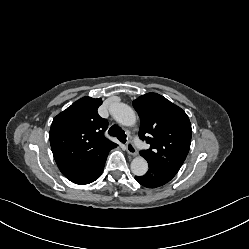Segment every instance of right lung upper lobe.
I'll return each mask as SVG.
<instances>
[{
    "label": "right lung upper lobe",
    "mask_w": 249,
    "mask_h": 249,
    "mask_svg": "<svg viewBox=\"0 0 249 249\" xmlns=\"http://www.w3.org/2000/svg\"><path fill=\"white\" fill-rule=\"evenodd\" d=\"M101 104V98H81L58 114L50 128L54 159L62 174L76 184L91 183L117 146L104 136L108 123L98 115Z\"/></svg>",
    "instance_id": "1"
}]
</instances>
